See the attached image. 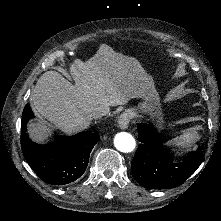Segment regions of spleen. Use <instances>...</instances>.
Returning a JSON list of instances; mask_svg holds the SVG:
<instances>
[{"label":"spleen","instance_id":"3e777b00","mask_svg":"<svg viewBox=\"0 0 221 221\" xmlns=\"http://www.w3.org/2000/svg\"><path fill=\"white\" fill-rule=\"evenodd\" d=\"M199 139L197 133H185L167 142V145L190 146Z\"/></svg>","mask_w":221,"mask_h":221}]
</instances>
